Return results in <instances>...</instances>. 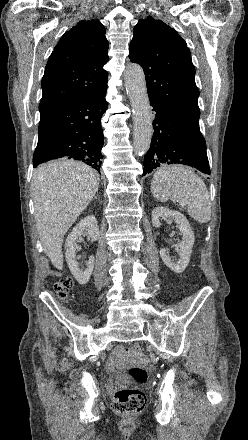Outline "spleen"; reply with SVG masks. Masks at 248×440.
Here are the masks:
<instances>
[{
	"label": "spleen",
	"mask_w": 248,
	"mask_h": 440,
	"mask_svg": "<svg viewBox=\"0 0 248 440\" xmlns=\"http://www.w3.org/2000/svg\"><path fill=\"white\" fill-rule=\"evenodd\" d=\"M152 195L161 202L188 204L187 212L203 224L211 219V202L204 181L181 165L160 167L151 181Z\"/></svg>",
	"instance_id": "3e777b00"
}]
</instances>
